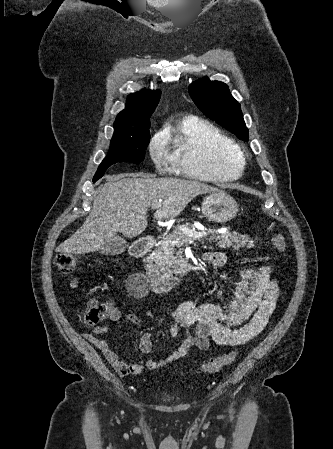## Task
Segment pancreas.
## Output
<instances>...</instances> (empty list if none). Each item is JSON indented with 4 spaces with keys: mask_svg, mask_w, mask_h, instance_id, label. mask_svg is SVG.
<instances>
[{
    "mask_svg": "<svg viewBox=\"0 0 333 449\" xmlns=\"http://www.w3.org/2000/svg\"><path fill=\"white\" fill-rule=\"evenodd\" d=\"M183 226L194 228L190 223H186ZM190 240L192 238L177 227L157 244L152 257L164 275L171 276L173 274L172 270L178 269L179 264L184 261L182 246L188 244ZM207 240L209 242L218 241L217 244L221 248H233L234 250H238L240 247L252 248L254 246V241L248 236L241 235L235 231L231 232L229 229L225 233L211 236Z\"/></svg>",
    "mask_w": 333,
    "mask_h": 449,
    "instance_id": "1",
    "label": "pancreas"
}]
</instances>
